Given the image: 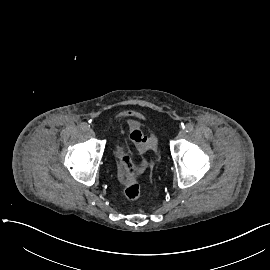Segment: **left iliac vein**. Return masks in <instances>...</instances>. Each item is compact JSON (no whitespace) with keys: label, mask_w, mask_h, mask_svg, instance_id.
I'll list each match as a JSON object with an SVG mask.
<instances>
[{"label":"left iliac vein","mask_w":270,"mask_h":270,"mask_svg":"<svg viewBox=\"0 0 270 270\" xmlns=\"http://www.w3.org/2000/svg\"><path fill=\"white\" fill-rule=\"evenodd\" d=\"M186 136V131L185 130H181L179 133H178V136L177 138L179 139H182Z\"/></svg>","instance_id":"left-iliac-vein-1"}]
</instances>
